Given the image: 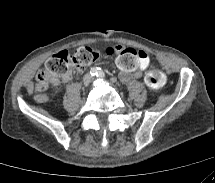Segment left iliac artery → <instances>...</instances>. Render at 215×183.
Returning a JSON list of instances; mask_svg holds the SVG:
<instances>
[{
  "label": "left iliac artery",
  "instance_id": "left-iliac-artery-1",
  "mask_svg": "<svg viewBox=\"0 0 215 183\" xmlns=\"http://www.w3.org/2000/svg\"><path fill=\"white\" fill-rule=\"evenodd\" d=\"M99 78H104L105 77V73L99 68V71H98V75H97Z\"/></svg>",
  "mask_w": 215,
  "mask_h": 183
}]
</instances>
